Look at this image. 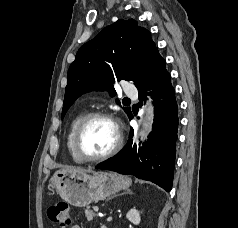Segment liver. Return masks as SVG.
I'll use <instances>...</instances> for the list:
<instances>
[{
  "label": "liver",
  "instance_id": "liver-1",
  "mask_svg": "<svg viewBox=\"0 0 238 228\" xmlns=\"http://www.w3.org/2000/svg\"><path fill=\"white\" fill-rule=\"evenodd\" d=\"M66 171H68V172H92L91 169L85 170V169L75 168V167L67 168Z\"/></svg>",
  "mask_w": 238,
  "mask_h": 228
}]
</instances>
